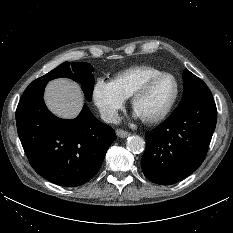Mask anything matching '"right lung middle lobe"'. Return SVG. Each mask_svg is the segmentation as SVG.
Wrapping results in <instances>:
<instances>
[{
    "instance_id": "1",
    "label": "right lung middle lobe",
    "mask_w": 233,
    "mask_h": 233,
    "mask_svg": "<svg viewBox=\"0 0 233 233\" xmlns=\"http://www.w3.org/2000/svg\"><path fill=\"white\" fill-rule=\"evenodd\" d=\"M94 71L93 67L86 62L80 63H69L64 62L46 75L38 78L36 81H46L58 78L67 77L77 82H80L82 89L85 92L86 98L91 100L93 88H94V77L92 75Z\"/></svg>"
}]
</instances>
